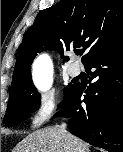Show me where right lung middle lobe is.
Instances as JSON below:
<instances>
[{"instance_id": "obj_1", "label": "right lung middle lobe", "mask_w": 123, "mask_h": 152, "mask_svg": "<svg viewBox=\"0 0 123 152\" xmlns=\"http://www.w3.org/2000/svg\"><path fill=\"white\" fill-rule=\"evenodd\" d=\"M75 85L69 84L64 90V100L58 106L61 108ZM40 95L33 83L26 84L18 91L10 95L9 104L4 117L6 125H16L30 117V113L39 107Z\"/></svg>"}]
</instances>
